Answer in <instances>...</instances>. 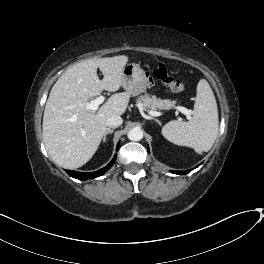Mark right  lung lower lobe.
Segmentation results:
<instances>
[{"label":"right lung lower lobe","instance_id":"1","mask_svg":"<svg viewBox=\"0 0 264 264\" xmlns=\"http://www.w3.org/2000/svg\"><path fill=\"white\" fill-rule=\"evenodd\" d=\"M119 148V143L117 145V150ZM117 154L114 155L112 161L104 168L95 171V172H91V173H84V172H77V171H71V170H67L66 172L73 178L79 179V180H86V179H90V178H96L99 177L101 175H103L107 170L110 169V167L115 163Z\"/></svg>","mask_w":264,"mask_h":264}]
</instances>
